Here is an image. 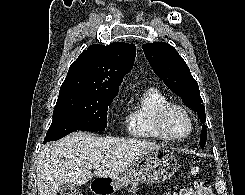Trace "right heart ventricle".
<instances>
[{
	"instance_id": "e07e8e85",
	"label": "right heart ventricle",
	"mask_w": 245,
	"mask_h": 195,
	"mask_svg": "<svg viewBox=\"0 0 245 195\" xmlns=\"http://www.w3.org/2000/svg\"><path fill=\"white\" fill-rule=\"evenodd\" d=\"M167 96L157 88L144 89L136 102L127 107L126 125L130 136L140 139L163 140L154 125L156 111L168 103Z\"/></svg>"
}]
</instances>
